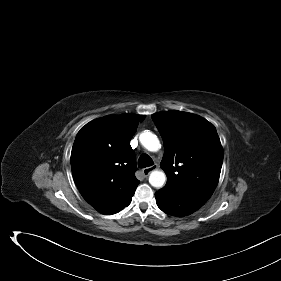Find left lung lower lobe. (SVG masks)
I'll list each match as a JSON object with an SVG mask.
<instances>
[{
	"instance_id": "0a47b994",
	"label": "left lung lower lobe",
	"mask_w": 281,
	"mask_h": 281,
	"mask_svg": "<svg viewBox=\"0 0 281 281\" xmlns=\"http://www.w3.org/2000/svg\"><path fill=\"white\" fill-rule=\"evenodd\" d=\"M157 206L165 213L177 217L187 216L201 208L209 198L191 189L165 186L155 193Z\"/></svg>"
}]
</instances>
